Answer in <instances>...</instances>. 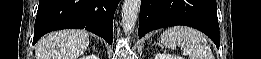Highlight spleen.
<instances>
[{"label":"spleen","mask_w":261,"mask_h":59,"mask_svg":"<svg viewBox=\"0 0 261 59\" xmlns=\"http://www.w3.org/2000/svg\"><path fill=\"white\" fill-rule=\"evenodd\" d=\"M161 43L170 49L180 46L189 59H214L205 36L187 26H174L161 34Z\"/></svg>","instance_id":"1"}]
</instances>
